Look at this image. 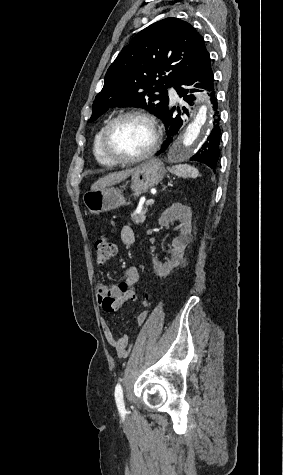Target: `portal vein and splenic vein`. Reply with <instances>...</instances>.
Segmentation results:
<instances>
[{"instance_id": "1", "label": "portal vein and splenic vein", "mask_w": 283, "mask_h": 475, "mask_svg": "<svg viewBox=\"0 0 283 475\" xmlns=\"http://www.w3.org/2000/svg\"><path fill=\"white\" fill-rule=\"evenodd\" d=\"M144 202H140L139 206H143ZM154 204V200H147L146 206H152Z\"/></svg>"}]
</instances>
